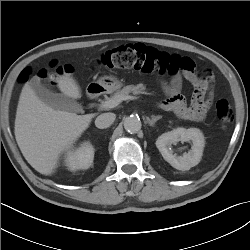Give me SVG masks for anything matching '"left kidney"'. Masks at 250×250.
Returning a JSON list of instances; mask_svg holds the SVG:
<instances>
[{"instance_id": "obj_1", "label": "left kidney", "mask_w": 250, "mask_h": 250, "mask_svg": "<svg viewBox=\"0 0 250 250\" xmlns=\"http://www.w3.org/2000/svg\"><path fill=\"white\" fill-rule=\"evenodd\" d=\"M179 141H192L193 145L188 153L177 155L172 150V144ZM156 147L163 158L174 168L178 170H189L196 166L203 154L205 139L203 133L197 128H176L172 131L163 133L156 140Z\"/></svg>"}]
</instances>
